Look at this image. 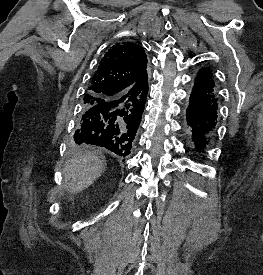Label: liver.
<instances>
[{"label": "liver", "mask_w": 263, "mask_h": 275, "mask_svg": "<svg viewBox=\"0 0 263 275\" xmlns=\"http://www.w3.org/2000/svg\"><path fill=\"white\" fill-rule=\"evenodd\" d=\"M105 170L104 161L93 152L78 154L64 167L65 190L77 194L92 185Z\"/></svg>", "instance_id": "obj_1"}]
</instances>
